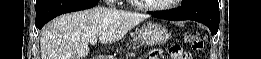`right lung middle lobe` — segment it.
<instances>
[{"instance_id": "dd1d6c3e", "label": "right lung middle lobe", "mask_w": 261, "mask_h": 59, "mask_svg": "<svg viewBox=\"0 0 261 59\" xmlns=\"http://www.w3.org/2000/svg\"><path fill=\"white\" fill-rule=\"evenodd\" d=\"M45 1H47V0H37L36 1V8L40 7Z\"/></svg>"}]
</instances>
